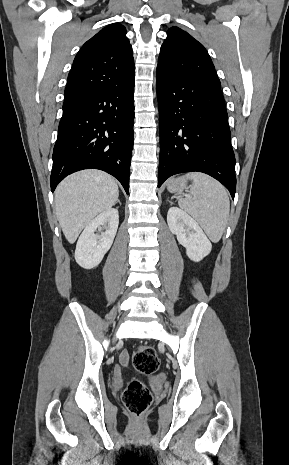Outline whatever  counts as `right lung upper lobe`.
<instances>
[{
	"label": "right lung upper lobe",
	"mask_w": 289,
	"mask_h": 465,
	"mask_svg": "<svg viewBox=\"0 0 289 465\" xmlns=\"http://www.w3.org/2000/svg\"><path fill=\"white\" fill-rule=\"evenodd\" d=\"M132 47L120 24L105 27L77 53L68 75L63 106L128 82L133 76Z\"/></svg>",
	"instance_id": "1"
}]
</instances>
